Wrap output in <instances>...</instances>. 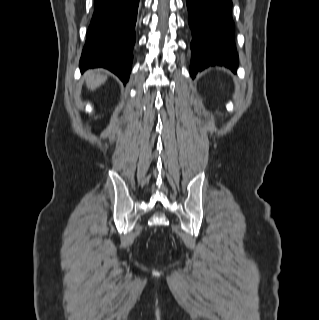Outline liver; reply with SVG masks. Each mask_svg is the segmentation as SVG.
<instances>
[{
  "instance_id": "6515ba94",
  "label": "liver",
  "mask_w": 319,
  "mask_h": 320,
  "mask_svg": "<svg viewBox=\"0 0 319 320\" xmlns=\"http://www.w3.org/2000/svg\"><path fill=\"white\" fill-rule=\"evenodd\" d=\"M85 79L87 87L95 90L107 80V76L101 75L100 72L87 71L85 73Z\"/></svg>"
}]
</instances>
